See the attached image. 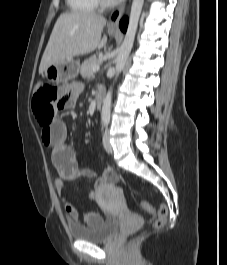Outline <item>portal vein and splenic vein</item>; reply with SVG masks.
Segmentation results:
<instances>
[{
    "label": "portal vein and splenic vein",
    "mask_w": 227,
    "mask_h": 265,
    "mask_svg": "<svg viewBox=\"0 0 227 265\" xmlns=\"http://www.w3.org/2000/svg\"><path fill=\"white\" fill-rule=\"evenodd\" d=\"M100 69V67L98 66V65H94V66H92V71L93 72H96V71H98Z\"/></svg>",
    "instance_id": "portal-vein-and-splenic-vein-1"
}]
</instances>
